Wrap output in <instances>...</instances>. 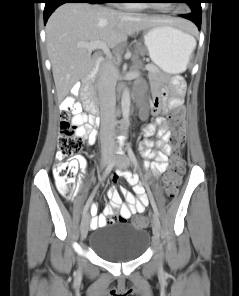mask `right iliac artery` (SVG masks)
<instances>
[{"label": "right iliac artery", "instance_id": "obj_1", "mask_svg": "<svg viewBox=\"0 0 239 296\" xmlns=\"http://www.w3.org/2000/svg\"><path fill=\"white\" fill-rule=\"evenodd\" d=\"M115 165V161H111L109 163V165L107 166L104 174H103V178L102 179H105V177L107 176L108 173H110V171L112 170V168L114 167ZM96 192V189L93 191V193L91 194L90 196V200H92L94 194ZM88 208H89V203L88 202H85V206H84V211H82V214H81V220L83 221L85 218V216L87 215V212H88Z\"/></svg>", "mask_w": 239, "mask_h": 296}]
</instances>
